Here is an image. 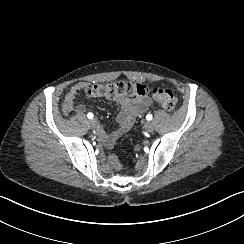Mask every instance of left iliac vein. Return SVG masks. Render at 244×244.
Returning a JSON list of instances; mask_svg holds the SVG:
<instances>
[{"label": "left iliac vein", "instance_id": "4c4485c4", "mask_svg": "<svg viewBox=\"0 0 244 244\" xmlns=\"http://www.w3.org/2000/svg\"><path fill=\"white\" fill-rule=\"evenodd\" d=\"M143 128L148 132V133H153L154 131V125L152 122L147 121L143 124Z\"/></svg>", "mask_w": 244, "mask_h": 244}]
</instances>
